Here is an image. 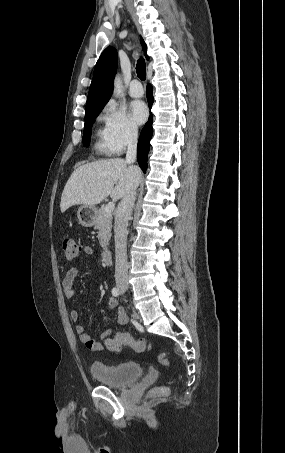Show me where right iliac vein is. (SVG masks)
Listing matches in <instances>:
<instances>
[{"instance_id": "right-iliac-vein-1", "label": "right iliac vein", "mask_w": 285, "mask_h": 453, "mask_svg": "<svg viewBox=\"0 0 285 453\" xmlns=\"http://www.w3.org/2000/svg\"><path fill=\"white\" fill-rule=\"evenodd\" d=\"M118 287L120 288V290L122 291H127L128 290V285L124 282H119L118 283Z\"/></svg>"}]
</instances>
